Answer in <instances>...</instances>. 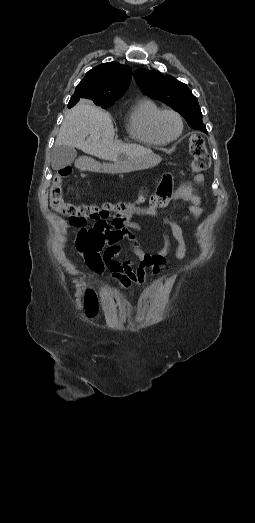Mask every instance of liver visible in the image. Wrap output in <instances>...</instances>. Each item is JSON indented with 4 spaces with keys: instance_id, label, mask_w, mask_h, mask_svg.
Returning a JSON list of instances; mask_svg holds the SVG:
<instances>
[{
    "instance_id": "obj_1",
    "label": "liver",
    "mask_w": 255,
    "mask_h": 523,
    "mask_svg": "<svg viewBox=\"0 0 255 523\" xmlns=\"http://www.w3.org/2000/svg\"><path fill=\"white\" fill-rule=\"evenodd\" d=\"M114 136V126L109 114L93 106L92 102L82 100L66 114L55 144L78 148L85 154L115 162L109 164V172H116L119 168L122 154L127 156V160L149 158L152 166L160 164L162 158L153 154L149 148L138 144H115Z\"/></svg>"
}]
</instances>
